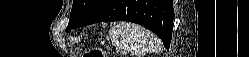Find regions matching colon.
Returning <instances> with one entry per match:
<instances>
[{"label": "colon", "mask_w": 249, "mask_h": 57, "mask_svg": "<svg viewBox=\"0 0 249 57\" xmlns=\"http://www.w3.org/2000/svg\"><path fill=\"white\" fill-rule=\"evenodd\" d=\"M84 57H106V55L98 48H92L85 52Z\"/></svg>", "instance_id": "obj_1"}]
</instances>
